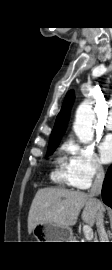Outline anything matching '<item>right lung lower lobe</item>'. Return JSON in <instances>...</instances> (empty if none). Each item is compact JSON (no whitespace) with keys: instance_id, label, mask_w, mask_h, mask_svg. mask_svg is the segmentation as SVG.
Listing matches in <instances>:
<instances>
[{"instance_id":"1","label":"right lung lower lobe","mask_w":112,"mask_h":270,"mask_svg":"<svg viewBox=\"0 0 112 270\" xmlns=\"http://www.w3.org/2000/svg\"><path fill=\"white\" fill-rule=\"evenodd\" d=\"M104 203L112 208V165L109 167L102 188Z\"/></svg>"}]
</instances>
